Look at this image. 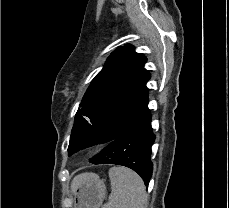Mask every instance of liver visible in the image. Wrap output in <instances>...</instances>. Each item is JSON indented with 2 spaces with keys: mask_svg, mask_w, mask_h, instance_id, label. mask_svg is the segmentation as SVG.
Segmentation results:
<instances>
[{
  "mask_svg": "<svg viewBox=\"0 0 229 208\" xmlns=\"http://www.w3.org/2000/svg\"><path fill=\"white\" fill-rule=\"evenodd\" d=\"M92 178H96V174H79V176H75L71 182V190L74 192L75 188L77 186H80V184H84V182H87V180H92Z\"/></svg>",
  "mask_w": 229,
  "mask_h": 208,
  "instance_id": "1",
  "label": "liver"
}]
</instances>
